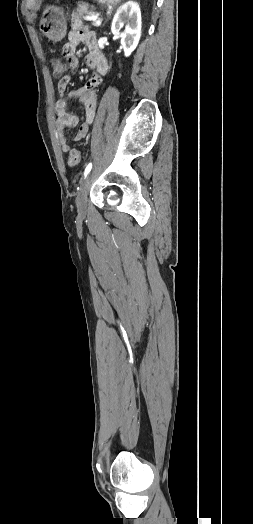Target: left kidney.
Wrapping results in <instances>:
<instances>
[{
	"mask_svg": "<svg viewBox=\"0 0 253 524\" xmlns=\"http://www.w3.org/2000/svg\"><path fill=\"white\" fill-rule=\"evenodd\" d=\"M123 25L126 28L120 32ZM111 31L121 39L124 54L129 56L136 49L141 37V11L137 2L128 1L118 8Z\"/></svg>",
	"mask_w": 253,
	"mask_h": 524,
	"instance_id": "obj_1",
	"label": "left kidney"
}]
</instances>
